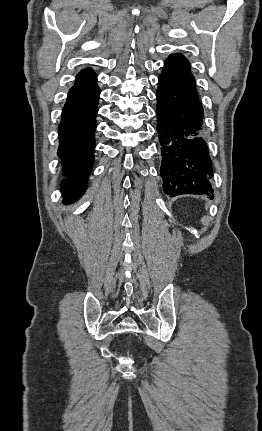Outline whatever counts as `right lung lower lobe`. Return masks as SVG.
<instances>
[{"instance_id":"obj_1","label":"right lung lower lobe","mask_w":262,"mask_h":431,"mask_svg":"<svg viewBox=\"0 0 262 431\" xmlns=\"http://www.w3.org/2000/svg\"><path fill=\"white\" fill-rule=\"evenodd\" d=\"M100 90L98 85L70 89L59 125L58 155L62 160L64 202L72 203L85 191L94 162V131Z\"/></svg>"}]
</instances>
